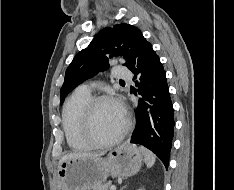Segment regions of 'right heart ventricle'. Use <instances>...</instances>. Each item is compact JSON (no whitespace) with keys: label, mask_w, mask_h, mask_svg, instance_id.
<instances>
[{"label":"right heart ventricle","mask_w":234,"mask_h":190,"mask_svg":"<svg viewBox=\"0 0 234 190\" xmlns=\"http://www.w3.org/2000/svg\"><path fill=\"white\" fill-rule=\"evenodd\" d=\"M91 94L76 90L66 100L62 112V126L69 147L74 150H87L91 145L84 138L81 129V116Z\"/></svg>","instance_id":"e07e8e85"}]
</instances>
